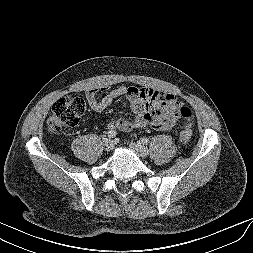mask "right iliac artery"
I'll use <instances>...</instances> for the list:
<instances>
[{"label": "right iliac artery", "instance_id": "82829eb1", "mask_svg": "<svg viewBox=\"0 0 253 253\" xmlns=\"http://www.w3.org/2000/svg\"><path fill=\"white\" fill-rule=\"evenodd\" d=\"M117 135V132L116 131H113V130H110V131H108V133H107V137L108 138H113V137H115Z\"/></svg>", "mask_w": 253, "mask_h": 253}]
</instances>
